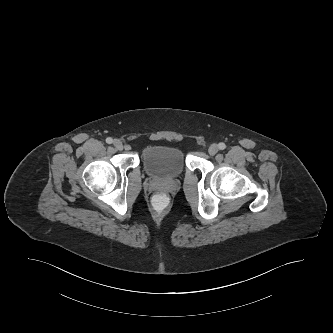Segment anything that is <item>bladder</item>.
<instances>
[{"label": "bladder", "mask_w": 333, "mask_h": 333, "mask_svg": "<svg viewBox=\"0 0 333 333\" xmlns=\"http://www.w3.org/2000/svg\"><path fill=\"white\" fill-rule=\"evenodd\" d=\"M144 170L153 177L172 179L180 176L186 166L182 151L170 146H150L141 156Z\"/></svg>", "instance_id": "1"}]
</instances>
